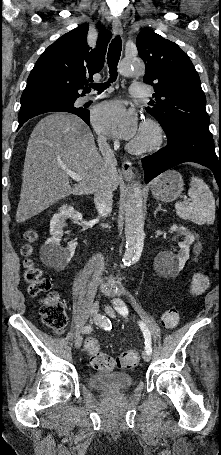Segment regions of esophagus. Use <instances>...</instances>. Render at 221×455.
I'll list each match as a JSON object with an SVG mask.
<instances>
[{
	"instance_id": "esophagus-1",
	"label": "esophagus",
	"mask_w": 221,
	"mask_h": 455,
	"mask_svg": "<svg viewBox=\"0 0 221 455\" xmlns=\"http://www.w3.org/2000/svg\"><path fill=\"white\" fill-rule=\"evenodd\" d=\"M112 29L115 34H122V24L118 18H114L112 22ZM121 170L124 178L130 181L133 178L132 163L128 160L122 162Z\"/></svg>"
}]
</instances>
